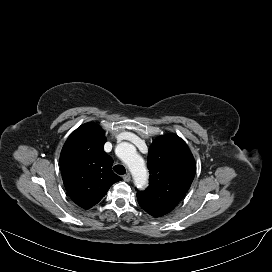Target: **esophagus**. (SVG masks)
Returning <instances> with one entry per match:
<instances>
[{
  "label": "esophagus",
  "mask_w": 272,
  "mask_h": 272,
  "mask_svg": "<svg viewBox=\"0 0 272 272\" xmlns=\"http://www.w3.org/2000/svg\"><path fill=\"white\" fill-rule=\"evenodd\" d=\"M123 180H124L125 182H129V181L131 180L130 174H129V173L125 174V175L123 176Z\"/></svg>",
  "instance_id": "34e87169"
}]
</instances>
